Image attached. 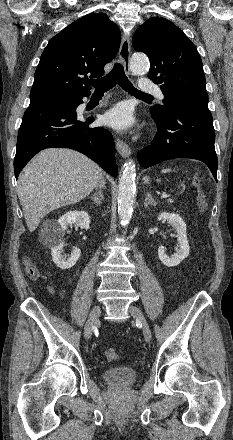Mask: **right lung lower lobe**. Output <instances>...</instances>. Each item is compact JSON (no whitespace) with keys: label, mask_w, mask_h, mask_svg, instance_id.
Masks as SVG:
<instances>
[{"label":"right lung lower lobe","mask_w":233,"mask_h":440,"mask_svg":"<svg viewBox=\"0 0 233 440\" xmlns=\"http://www.w3.org/2000/svg\"><path fill=\"white\" fill-rule=\"evenodd\" d=\"M82 98L30 103L18 133L14 159L16 178L35 154L50 147L77 150L117 176L113 137L101 127L89 128L93 117L77 115L76 108Z\"/></svg>","instance_id":"obj_1"}]
</instances>
